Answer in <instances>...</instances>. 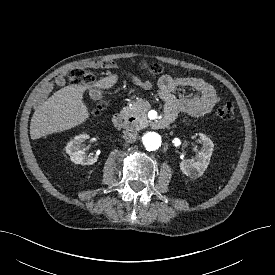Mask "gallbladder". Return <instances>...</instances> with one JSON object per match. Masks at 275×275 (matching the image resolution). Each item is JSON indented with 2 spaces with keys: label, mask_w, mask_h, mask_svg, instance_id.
Listing matches in <instances>:
<instances>
[{
  "label": "gallbladder",
  "mask_w": 275,
  "mask_h": 275,
  "mask_svg": "<svg viewBox=\"0 0 275 275\" xmlns=\"http://www.w3.org/2000/svg\"><path fill=\"white\" fill-rule=\"evenodd\" d=\"M89 96L94 101H100L103 98V93L99 89H91L89 92Z\"/></svg>",
  "instance_id": "gallbladder-1"
}]
</instances>
